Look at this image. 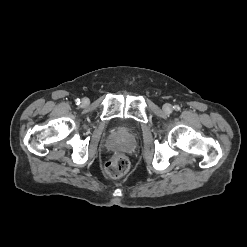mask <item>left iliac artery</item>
Listing matches in <instances>:
<instances>
[{
  "label": "left iliac artery",
  "instance_id": "44dca946",
  "mask_svg": "<svg viewBox=\"0 0 247 247\" xmlns=\"http://www.w3.org/2000/svg\"><path fill=\"white\" fill-rule=\"evenodd\" d=\"M174 109H175V110H179V106L175 105V106H174Z\"/></svg>",
  "mask_w": 247,
  "mask_h": 247
}]
</instances>
